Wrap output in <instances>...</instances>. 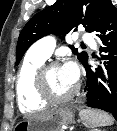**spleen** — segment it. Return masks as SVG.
<instances>
[{"label": "spleen", "instance_id": "3e777b00", "mask_svg": "<svg viewBox=\"0 0 117 131\" xmlns=\"http://www.w3.org/2000/svg\"><path fill=\"white\" fill-rule=\"evenodd\" d=\"M79 115L84 124L91 128L110 126L114 123L112 116L101 110L83 109Z\"/></svg>", "mask_w": 117, "mask_h": 131}]
</instances>
